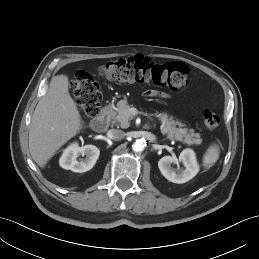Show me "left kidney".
I'll return each mask as SVG.
<instances>
[{
	"mask_svg": "<svg viewBox=\"0 0 259 259\" xmlns=\"http://www.w3.org/2000/svg\"><path fill=\"white\" fill-rule=\"evenodd\" d=\"M182 162L184 169L175 170L172 163L178 164ZM161 174L169 181L177 184L185 183L191 180L199 171V165L196 160L195 153L192 149H184L179 159L172 156H164L158 162Z\"/></svg>",
	"mask_w": 259,
	"mask_h": 259,
	"instance_id": "obj_1",
	"label": "left kidney"
}]
</instances>
